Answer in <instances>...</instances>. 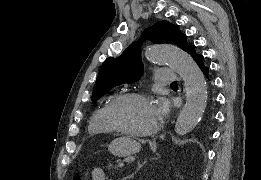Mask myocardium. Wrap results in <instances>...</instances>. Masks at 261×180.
Listing matches in <instances>:
<instances>
[{
  "label": "myocardium",
  "instance_id": "myocardium-1",
  "mask_svg": "<svg viewBox=\"0 0 261 180\" xmlns=\"http://www.w3.org/2000/svg\"><path fill=\"white\" fill-rule=\"evenodd\" d=\"M134 98L152 99V97L144 91H129V92L120 93V94L114 96L113 99L107 105V107L104 109V112H103L104 122H105L107 128L110 130V132L115 137L127 138V139L150 140L158 134V132L160 131V129L163 125L164 112L162 111L161 108H159V110H158L157 122H156L155 126L153 127V129L149 133L141 135V136H132V135L123 134L122 132H120L118 130V128L116 127V125L113 123V121L110 118L109 112L114 106L119 105L120 103H122L123 101H125L127 99H134Z\"/></svg>",
  "mask_w": 261,
  "mask_h": 180
}]
</instances>
